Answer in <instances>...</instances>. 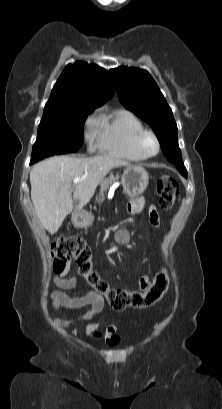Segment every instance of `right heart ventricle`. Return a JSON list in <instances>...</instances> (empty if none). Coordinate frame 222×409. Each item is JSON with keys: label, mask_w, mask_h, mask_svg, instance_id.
<instances>
[{"label": "right heart ventricle", "mask_w": 222, "mask_h": 409, "mask_svg": "<svg viewBox=\"0 0 222 409\" xmlns=\"http://www.w3.org/2000/svg\"><path fill=\"white\" fill-rule=\"evenodd\" d=\"M99 125L98 147L103 153L135 162L146 159L136 148V137L145 128L132 111L117 108L104 112Z\"/></svg>", "instance_id": "1"}]
</instances>
